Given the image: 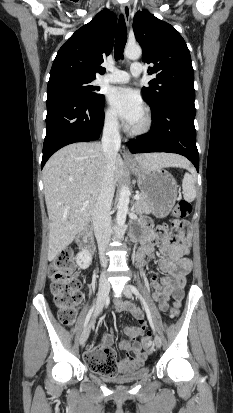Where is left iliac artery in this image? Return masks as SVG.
<instances>
[{
    "label": "left iliac artery",
    "mask_w": 233,
    "mask_h": 413,
    "mask_svg": "<svg viewBox=\"0 0 233 413\" xmlns=\"http://www.w3.org/2000/svg\"><path fill=\"white\" fill-rule=\"evenodd\" d=\"M130 289H131V291L135 294V296L140 299V301H141V303H142V305H143V307H144V309H145V311H146L147 318H148V320H149L150 326H151V328L155 331V327H154V324H153V321H152L151 313H150L149 307H148L145 299H144L143 296L139 293L138 289H137L135 286L131 285V286H130Z\"/></svg>",
    "instance_id": "left-iliac-artery-1"
}]
</instances>
